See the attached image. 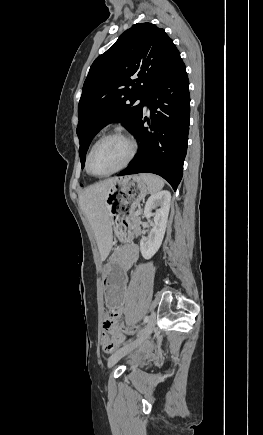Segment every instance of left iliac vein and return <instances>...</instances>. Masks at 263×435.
I'll return each mask as SVG.
<instances>
[{"label":"left iliac vein","mask_w":263,"mask_h":435,"mask_svg":"<svg viewBox=\"0 0 263 435\" xmlns=\"http://www.w3.org/2000/svg\"><path fill=\"white\" fill-rule=\"evenodd\" d=\"M156 324V314L155 312H152L148 323L146 325V327L144 328V330L142 331V333L140 334V336L134 340L133 342L125 345L124 347H122L121 349L117 350L108 360V367H112L113 365H115L123 356H125L126 354H128L129 352H131L132 350H134L135 348H137L143 341H145L149 335L152 333L154 327Z\"/></svg>","instance_id":"4c4485c4"}]
</instances>
